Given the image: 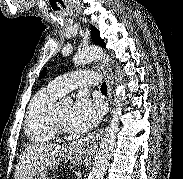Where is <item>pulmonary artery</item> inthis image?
Instances as JSON below:
<instances>
[{"mask_svg":"<svg viewBox=\"0 0 183 179\" xmlns=\"http://www.w3.org/2000/svg\"><path fill=\"white\" fill-rule=\"evenodd\" d=\"M99 84V76L93 71H74L59 76L49 83V87L63 95L80 86H94Z\"/></svg>","mask_w":183,"mask_h":179,"instance_id":"1","label":"pulmonary artery"}]
</instances>
